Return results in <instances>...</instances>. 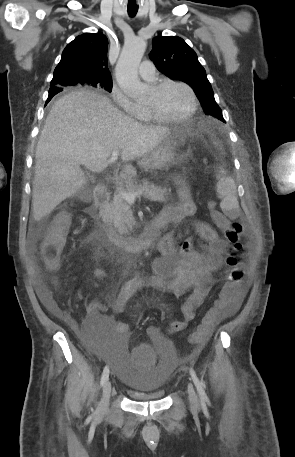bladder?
Wrapping results in <instances>:
<instances>
[{
  "label": "bladder",
  "instance_id": "obj_1",
  "mask_svg": "<svg viewBox=\"0 0 295 457\" xmlns=\"http://www.w3.org/2000/svg\"><path fill=\"white\" fill-rule=\"evenodd\" d=\"M127 338H89L88 345L93 347V356H103V365H112L119 381L129 394L139 400H159L165 397V387L170 378L169 369H177L178 361L172 360V346L165 342H156L159 351L158 366H154L150 374H139L134 371V360L130 358Z\"/></svg>",
  "mask_w": 295,
  "mask_h": 457
}]
</instances>
